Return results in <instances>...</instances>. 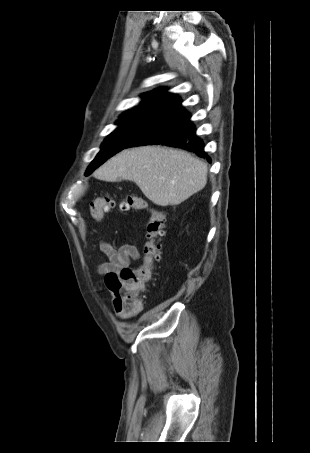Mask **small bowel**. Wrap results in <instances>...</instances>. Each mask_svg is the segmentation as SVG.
Masks as SVG:
<instances>
[{
	"instance_id": "c3829d8e",
	"label": "small bowel",
	"mask_w": 310,
	"mask_h": 453,
	"mask_svg": "<svg viewBox=\"0 0 310 453\" xmlns=\"http://www.w3.org/2000/svg\"><path fill=\"white\" fill-rule=\"evenodd\" d=\"M99 248L108 259L97 268V273L101 276L106 277L109 274L119 275L123 269L129 266L131 260L136 261L140 259L138 247L132 243L123 244L118 248H115L107 240H100ZM100 288H108L105 279L100 283ZM121 317L127 318L130 316Z\"/></svg>"
}]
</instances>
